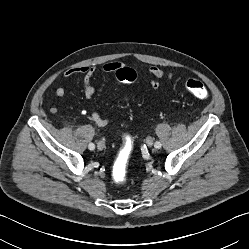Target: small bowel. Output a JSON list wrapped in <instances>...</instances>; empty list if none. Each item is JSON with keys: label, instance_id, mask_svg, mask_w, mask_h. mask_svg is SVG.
Instances as JSON below:
<instances>
[{"label": "small bowel", "instance_id": "small-bowel-1", "mask_svg": "<svg viewBox=\"0 0 249 249\" xmlns=\"http://www.w3.org/2000/svg\"><path fill=\"white\" fill-rule=\"evenodd\" d=\"M122 67V63L118 61H113L105 64L102 70L105 73H116L118 69ZM95 72L94 66H78L74 68L67 69L64 72L65 77H72L74 75L80 74L83 76V90L85 97L88 101H91L95 96V91L92 86V77ZM149 76L151 87L154 91L158 92L160 90L159 80L162 78H166L169 82H173L175 79L174 73L170 70H164L158 66H152L149 69ZM55 94L58 98H62L66 94V89L63 86L58 87L55 90ZM56 109H52V112H55ZM89 117L91 121L100 128H104L109 125L110 120L106 117L101 116L94 109L91 110Z\"/></svg>", "mask_w": 249, "mask_h": 249}]
</instances>
